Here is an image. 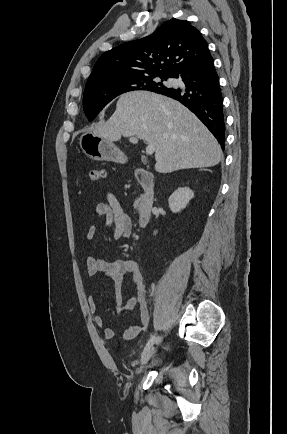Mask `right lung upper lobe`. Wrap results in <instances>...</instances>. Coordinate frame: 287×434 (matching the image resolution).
I'll use <instances>...</instances> for the list:
<instances>
[{"instance_id":"obj_1","label":"right lung upper lobe","mask_w":287,"mask_h":434,"mask_svg":"<svg viewBox=\"0 0 287 434\" xmlns=\"http://www.w3.org/2000/svg\"><path fill=\"white\" fill-rule=\"evenodd\" d=\"M208 53L207 42L198 29L186 20L171 19L152 35L103 53L86 84L144 75L173 78Z\"/></svg>"}]
</instances>
